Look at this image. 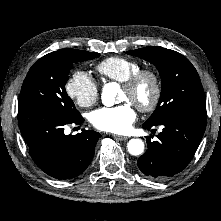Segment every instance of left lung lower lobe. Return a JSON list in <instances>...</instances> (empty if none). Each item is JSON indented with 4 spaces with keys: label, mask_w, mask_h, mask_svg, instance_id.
<instances>
[{
    "label": "left lung lower lobe",
    "mask_w": 221,
    "mask_h": 221,
    "mask_svg": "<svg viewBox=\"0 0 221 221\" xmlns=\"http://www.w3.org/2000/svg\"><path fill=\"white\" fill-rule=\"evenodd\" d=\"M163 131L158 141L147 136L148 149L137 161L147 176L164 179L182 171L193 158L206 128V108H191L175 113L157 125ZM153 126L143 125L150 130Z\"/></svg>",
    "instance_id": "obj_1"
}]
</instances>
